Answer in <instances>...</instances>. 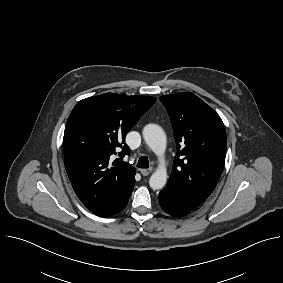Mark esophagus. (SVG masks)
Returning a JSON list of instances; mask_svg holds the SVG:
<instances>
[{"mask_svg":"<svg viewBox=\"0 0 283 283\" xmlns=\"http://www.w3.org/2000/svg\"><path fill=\"white\" fill-rule=\"evenodd\" d=\"M140 173L143 176H148L150 174V170L149 169H140Z\"/></svg>","mask_w":283,"mask_h":283,"instance_id":"obj_1","label":"esophagus"}]
</instances>
